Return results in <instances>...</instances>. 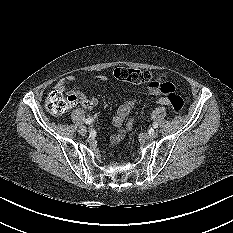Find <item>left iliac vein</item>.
<instances>
[{
	"label": "left iliac vein",
	"mask_w": 233,
	"mask_h": 233,
	"mask_svg": "<svg viewBox=\"0 0 233 233\" xmlns=\"http://www.w3.org/2000/svg\"><path fill=\"white\" fill-rule=\"evenodd\" d=\"M157 132L155 131V130H151V131H149L148 133H147V138H149V139H154V138H156L157 137Z\"/></svg>",
	"instance_id": "left-iliac-vein-1"
}]
</instances>
